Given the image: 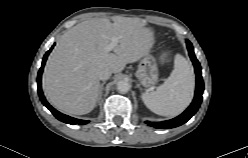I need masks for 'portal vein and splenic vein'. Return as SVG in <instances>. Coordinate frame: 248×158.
Returning a JSON list of instances; mask_svg holds the SVG:
<instances>
[{"label": "portal vein and splenic vein", "instance_id": "1", "mask_svg": "<svg viewBox=\"0 0 248 158\" xmlns=\"http://www.w3.org/2000/svg\"><path fill=\"white\" fill-rule=\"evenodd\" d=\"M119 38L118 37H112L110 43L106 46V51L110 52L112 51L117 45H118Z\"/></svg>", "mask_w": 248, "mask_h": 158}]
</instances>
